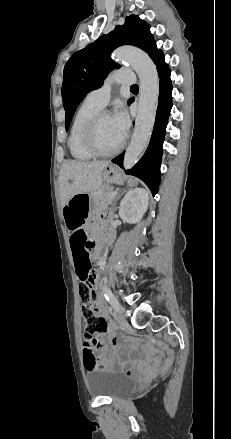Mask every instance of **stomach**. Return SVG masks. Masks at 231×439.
I'll return each mask as SVG.
<instances>
[{"instance_id":"obj_1","label":"stomach","mask_w":231,"mask_h":439,"mask_svg":"<svg viewBox=\"0 0 231 439\" xmlns=\"http://www.w3.org/2000/svg\"><path fill=\"white\" fill-rule=\"evenodd\" d=\"M103 179L108 184H121L123 182L121 174L113 165H108L103 170ZM93 210V194H75L62 208L63 218L67 228L70 230L79 228L83 224L84 219L91 214Z\"/></svg>"}]
</instances>
